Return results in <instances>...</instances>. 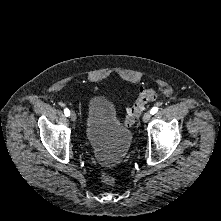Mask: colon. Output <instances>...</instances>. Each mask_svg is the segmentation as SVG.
Here are the masks:
<instances>
[{
  "label": "colon",
  "instance_id": "colon-1",
  "mask_svg": "<svg viewBox=\"0 0 221 221\" xmlns=\"http://www.w3.org/2000/svg\"><path fill=\"white\" fill-rule=\"evenodd\" d=\"M157 98L158 95L155 89L142 88L139 92L136 102L127 110V114L124 118V124H134L146 110L147 104L157 100ZM101 181L104 184L113 185L115 183V178L108 173H102Z\"/></svg>",
  "mask_w": 221,
  "mask_h": 221
}]
</instances>
